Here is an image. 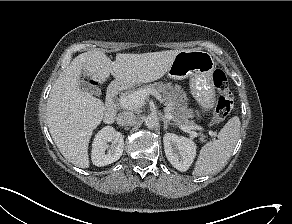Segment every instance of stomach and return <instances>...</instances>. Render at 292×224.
<instances>
[{
	"mask_svg": "<svg viewBox=\"0 0 292 224\" xmlns=\"http://www.w3.org/2000/svg\"><path fill=\"white\" fill-rule=\"evenodd\" d=\"M214 71L215 62L210 53L201 50H184L175 56L167 72L173 79L189 77L191 94L206 111L215 104Z\"/></svg>",
	"mask_w": 292,
	"mask_h": 224,
	"instance_id": "obj_1",
	"label": "stomach"
}]
</instances>
